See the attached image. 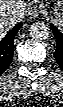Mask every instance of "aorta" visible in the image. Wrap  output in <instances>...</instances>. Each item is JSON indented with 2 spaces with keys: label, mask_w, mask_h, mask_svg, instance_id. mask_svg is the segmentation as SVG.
<instances>
[{
  "label": "aorta",
  "mask_w": 63,
  "mask_h": 107,
  "mask_svg": "<svg viewBox=\"0 0 63 107\" xmlns=\"http://www.w3.org/2000/svg\"><path fill=\"white\" fill-rule=\"evenodd\" d=\"M30 36L37 41L46 40L49 37V28L43 22H36L30 27Z\"/></svg>",
  "instance_id": "762f6f07"
}]
</instances>
